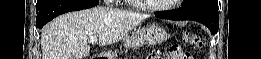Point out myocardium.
I'll return each mask as SVG.
<instances>
[{"mask_svg":"<svg viewBox=\"0 0 261 59\" xmlns=\"http://www.w3.org/2000/svg\"><path fill=\"white\" fill-rule=\"evenodd\" d=\"M135 1V0H134ZM180 2V0H173L172 3L168 4V5H163V6H156V5H151V4H147L145 2L142 1H135V3L142 9L147 10V11H154V12H162V11H168L173 9L178 3Z\"/></svg>","mask_w":261,"mask_h":59,"instance_id":"1","label":"myocardium"}]
</instances>
